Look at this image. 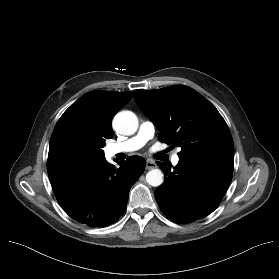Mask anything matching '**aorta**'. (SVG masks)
<instances>
[{"label": "aorta", "mask_w": 279, "mask_h": 279, "mask_svg": "<svg viewBox=\"0 0 279 279\" xmlns=\"http://www.w3.org/2000/svg\"><path fill=\"white\" fill-rule=\"evenodd\" d=\"M113 127L122 135H132L137 131L138 119L131 111H121L113 119ZM146 181L153 187L163 183V173L160 169H152L146 174Z\"/></svg>", "instance_id": "obj_1"}]
</instances>
